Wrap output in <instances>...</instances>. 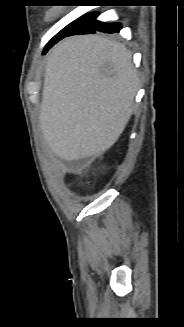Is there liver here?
Listing matches in <instances>:
<instances>
[{"mask_svg":"<svg viewBox=\"0 0 184 327\" xmlns=\"http://www.w3.org/2000/svg\"><path fill=\"white\" fill-rule=\"evenodd\" d=\"M139 79L124 45L76 36L47 57L40 128L51 151L67 161L94 158L126 127Z\"/></svg>","mask_w":184,"mask_h":327,"instance_id":"liver-1","label":"liver"}]
</instances>
